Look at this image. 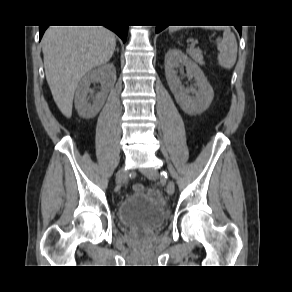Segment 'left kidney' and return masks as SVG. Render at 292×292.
<instances>
[{
  "instance_id": "left-kidney-1",
  "label": "left kidney",
  "mask_w": 292,
  "mask_h": 292,
  "mask_svg": "<svg viewBox=\"0 0 292 292\" xmlns=\"http://www.w3.org/2000/svg\"><path fill=\"white\" fill-rule=\"evenodd\" d=\"M180 65L186 67L187 76L194 77L195 88L186 89L175 71ZM165 74L170 90L181 109L189 115L203 113L211 104L214 91L200 67L177 49H170L165 55ZM193 93L195 96H190Z\"/></svg>"
}]
</instances>
